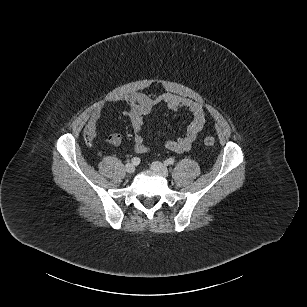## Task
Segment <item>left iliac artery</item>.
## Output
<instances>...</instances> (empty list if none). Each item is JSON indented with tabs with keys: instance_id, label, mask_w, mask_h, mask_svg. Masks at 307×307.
Wrapping results in <instances>:
<instances>
[{
	"instance_id": "1",
	"label": "left iliac artery",
	"mask_w": 307,
	"mask_h": 307,
	"mask_svg": "<svg viewBox=\"0 0 307 307\" xmlns=\"http://www.w3.org/2000/svg\"><path fill=\"white\" fill-rule=\"evenodd\" d=\"M174 162H175V160H174L173 158H169V159H167V160L165 161V163H166L167 165H173Z\"/></svg>"
}]
</instances>
